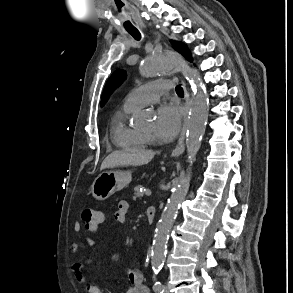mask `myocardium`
Returning <instances> with one entry per match:
<instances>
[{
    "label": "myocardium",
    "instance_id": "f54148a6",
    "mask_svg": "<svg viewBox=\"0 0 293 293\" xmlns=\"http://www.w3.org/2000/svg\"><path fill=\"white\" fill-rule=\"evenodd\" d=\"M148 138L150 137V135L149 134H145Z\"/></svg>",
    "mask_w": 293,
    "mask_h": 293
}]
</instances>
